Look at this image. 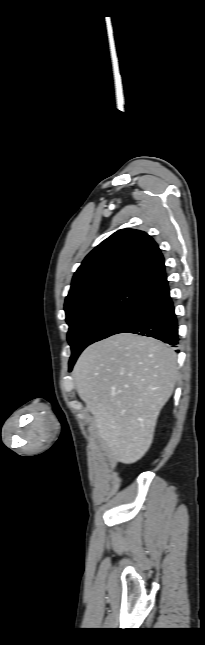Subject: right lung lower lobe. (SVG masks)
I'll return each mask as SVG.
<instances>
[{
    "label": "right lung lower lobe",
    "instance_id": "1",
    "mask_svg": "<svg viewBox=\"0 0 205 645\" xmlns=\"http://www.w3.org/2000/svg\"><path fill=\"white\" fill-rule=\"evenodd\" d=\"M117 333H135L159 339L173 346L178 344L177 319L166 276L147 288V294L139 305L102 339Z\"/></svg>",
    "mask_w": 205,
    "mask_h": 645
}]
</instances>
